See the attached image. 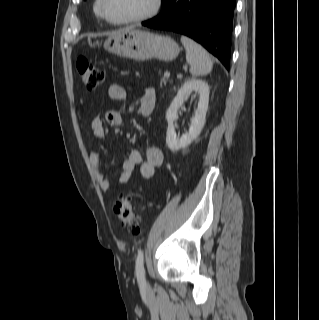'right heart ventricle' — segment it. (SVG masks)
<instances>
[{
	"mask_svg": "<svg viewBox=\"0 0 319 320\" xmlns=\"http://www.w3.org/2000/svg\"><path fill=\"white\" fill-rule=\"evenodd\" d=\"M94 12L99 19L102 18L100 15V10H99V0H96L94 3Z\"/></svg>",
	"mask_w": 319,
	"mask_h": 320,
	"instance_id": "right-heart-ventricle-1",
	"label": "right heart ventricle"
}]
</instances>
